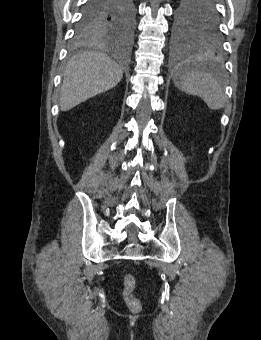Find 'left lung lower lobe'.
<instances>
[{
  "instance_id": "left-lung-lower-lobe-1",
  "label": "left lung lower lobe",
  "mask_w": 261,
  "mask_h": 340,
  "mask_svg": "<svg viewBox=\"0 0 261 340\" xmlns=\"http://www.w3.org/2000/svg\"><path fill=\"white\" fill-rule=\"evenodd\" d=\"M205 5H215V0H206L204 1Z\"/></svg>"
}]
</instances>
